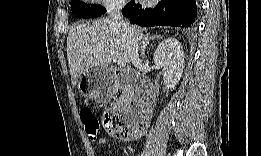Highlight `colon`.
Wrapping results in <instances>:
<instances>
[{
    "label": "colon",
    "mask_w": 261,
    "mask_h": 156,
    "mask_svg": "<svg viewBox=\"0 0 261 156\" xmlns=\"http://www.w3.org/2000/svg\"><path fill=\"white\" fill-rule=\"evenodd\" d=\"M80 119L90 140L95 141L100 132V124L96 116L91 110L84 109L80 113ZM103 126L110 135L118 138H137L145 132L144 124H129L124 114L115 108H110L105 112Z\"/></svg>",
    "instance_id": "1"
}]
</instances>
